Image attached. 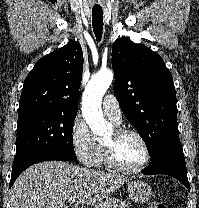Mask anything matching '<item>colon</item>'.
<instances>
[{
	"label": "colon",
	"mask_w": 199,
	"mask_h": 208,
	"mask_svg": "<svg viewBox=\"0 0 199 208\" xmlns=\"http://www.w3.org/2000/svg\"><path fill=\"white\" fill-rule=\"evenodd\" d=\"M150 208H168L167 205L160 200H154L151 202V207Z\"/></svg>",
	"instance_id": "1"
}]
</instances>
